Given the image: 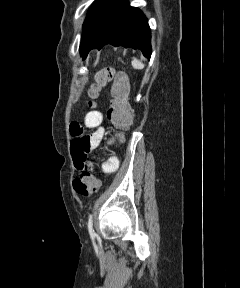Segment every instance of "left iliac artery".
Listing matches in <instances>:
<instances>
[{
	"label": "left iliac artery",
	"mask_w": 240,
	"mask_h": 288,
	"mask_svg": "<svg viewBox=\"0 0 240 288\" xmlns=\"http://www.w3.org/2000/svg\"><path fill=\"white\" fill-rule=\"evenodd\" d=\"M88 231H89V234L92 238H94L96 236L95 232H94V229H93V215H89V220H88Z\"/></svg>",
	"instance_id": "1"
}]
</instances>
